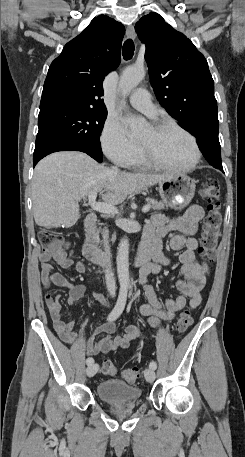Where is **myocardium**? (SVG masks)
Listing matches in <instances>:
<instances>
[{
	"mask_svg": "<svg viewBox=\"0 0 245 457\" xmlns=\"http://www.w3.org/2000/svg\"><path fill=\"white\" fill-rule=\"evenodd\" d=\"M152 128H153V130H155L158 133H160L164 130H167V129H176V130L182 132L185 136L188 137V139L191 142V148L193 151V160L189 165L184 166V167L167 166V165H164L162 162L158 161L157 159H154V158L150 157L149 155H147L145 153L144 149L139 144H137L138 156L140 157V159L143 161L144 164H146L147 166L152 167L154 169H157V170H165V171H169V172H179V173L189 172L195 168V166L198 164V162L200 160L201 154H200V150H199L195 137L188 130H186L185 128H183L182 126L177 124L176 122L169 120V119H163V120H160V121L154 123L152 125Z\"/></svg>",
	"mask_w": 245,
	"mask_h": 457,
	"instance_id": "obj_1",
	"label": "myocardium"
}]
</instances>
